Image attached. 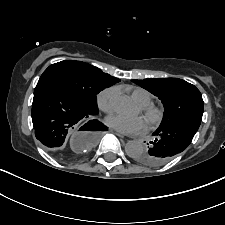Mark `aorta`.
<instances>
[{"instance_id":"obj_1","label":"aorta","mask_w":225,"mask_h":225,"mask_svg":"<svg viewBox=\"0 0 225 225\" xmlns=\"http://www.w3.org/2000/svg\"><path fill=\"white\" fill-rule=\"evenodd\" d=\"M113 105L120 112L127 111L131 107L128 96L117 91L113 96ZM145 151V147L139 141H128L125 145V152L129 157L136 158Z\"/></svg>"}]
</instances>
